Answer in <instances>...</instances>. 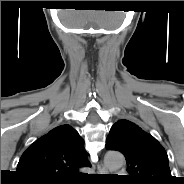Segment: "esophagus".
Returning <instances> with one entry per match:
<instances>
[{"instance_id":"34e87169","label":"esophagus","mask_w":184,"mask_h":184,"mask_svg":"<svg viewBox=\"0 0 184 184\" xmlns=\"http://www.w3.org/2000/svg\"><path fill=\"white\" fill-rule=\"evenodd\" d=\"M98 171L101 173H106L107 169L103 165L100 164L98 165Z\"/></svg>"}]
</instances>
